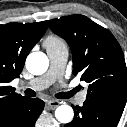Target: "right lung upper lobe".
<instances>
[{
	"mask_svg": "<svg viewBox=\"0 0 127 127\" xmlns=\"http://www.w3.org/2000/svg\"><path fill=\"white\" fill-rule=\"evenodd\" d=\"M47 21L0 25V124L26 101L9 83L19 77L25 59L47 30Z\"/></svg>",
	"mask_w": 127,
	"mask_h": 127,
	"instance_id": "obj_1",
	"label": "right lung upper lobe"
}]
</instances>
